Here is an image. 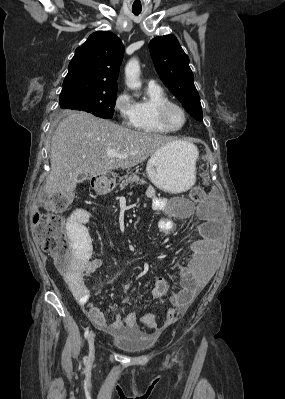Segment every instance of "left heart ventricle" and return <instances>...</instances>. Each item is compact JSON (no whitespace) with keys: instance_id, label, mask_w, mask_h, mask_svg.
I'll return each mask as SVG.
<instances>
[{"instance_id":"b2bd125f","label":"left heart ventricle","mask_w":285,"mask_h":399,"mask_svg":"<svg viewBox=\"0 0 285 399\" xmlns=\"http://www.w3.org/2000/svg\"><path fill=\"white\" fill-rule=\"evenodd\" d=\"M169 119L175 126H179L183 123V116L177 109H172L169 113Z\"/></svg>"}]
</instances>
